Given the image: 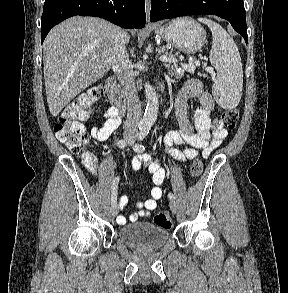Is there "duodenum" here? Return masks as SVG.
I'll return each instance as SVG.
<instances>
[{"label": "duodenum", "mask_w": 288, "mask_h": 293, "mask_svg": "<svg viewBox=\"0 0 288 293\" xmlns=\"http://www.w3.org/2000/svg\"><path fill=\"white\" fill-rule=\"evenodd\" d=\"M105 88L112 107L117 110L124 109L126 106L125 98L116 80L114 78H108L105 83ZM157 89L159 92H162L164 90V83L159 81L157 83Z\"/></svg>", "instance_id": "410a0bca"}]
</instances>
